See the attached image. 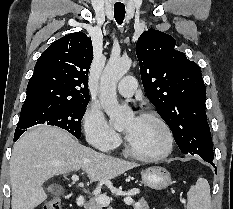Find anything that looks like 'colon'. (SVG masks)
Here are the masks:
<instances>
[{"mask_svg": "<svg viewBox=\"0 0 233 209\" xmlns=\"http://www.w3.org/2000/svg\"><path fill=\"white\" fill-rule=\"evenodd\" d=\"M43 209H61V201L59 199H51L44 204Z\"/></svg>", "mask_w": 233, "mask_h": 209, "instance_id": "5ec220e1", "label": "colon"}]
</instances>
